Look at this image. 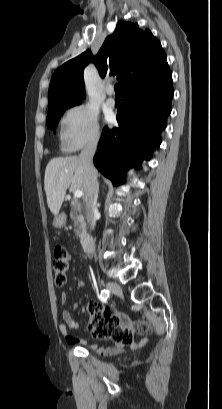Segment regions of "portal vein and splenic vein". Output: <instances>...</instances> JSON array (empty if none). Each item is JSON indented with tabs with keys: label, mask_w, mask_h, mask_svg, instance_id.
Segmentation results:
<instances>
[{
	"label": "portal vein and splenic vein",
	"mask_w": 222,
	"mask_h": 409,
	"mask_svg": "<svg viewBox=\"0 0 222 409\" xmlns=\"http://www.w3.org/2000/svg\"><path fill=\"white\" fill-rule=\"evenodd\" d=\"M83 195V192L81 190H75L74 192V197L75 198H81Z\"/></svg>",
	"instance_id": "18ae733b"
}]
</instances>
